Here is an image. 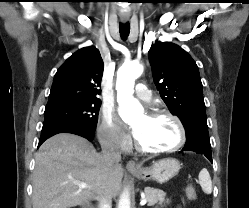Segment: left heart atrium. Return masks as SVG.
<instances>
[{
  "label": "left heart atrium",
  "mask_w": 249,
  "mask_h": 208,
  "mask_svg": "<svg viewBox=\"0 0 249 208\" xmlns=\"http://www.w3.org/2000/svg\"><path fill=\"white\" fill-rule=\"evenodd\" d=\"M133 134H134V136L137 138V137L139 136L140 132H139V130L134 129V130H133Z\"/></svg>",
  "instance_id": "obj_1"
}]
</instances>
